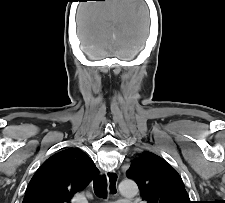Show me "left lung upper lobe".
I'll return each mask as SVG.
<instances>
[{
	"instance_id": "obj_1",
	"label": "left lung upper lobe",
	"mask_w": 225,
	"mask_h": 203,
	"mask_svg": "<svg viewBox=\"0 0 225 203\" xmlns=\"http://www.w3.org/2000/svg\"><path fill=\"white\" fill-rule=\"evenodd\" d=\"M148 203H191L177 171L161 157L143 152L126 172Z\"/></svg>"
}]
</instances>
